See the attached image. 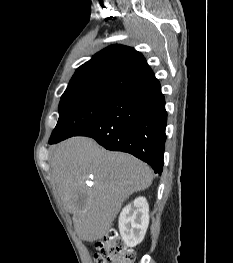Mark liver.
Returning a JSON list of instances; mask_svg holds the SVG:
<instances>
[{
  "instance_id": "obj_1",
  "label": "liver",
  "mask_w": 233,
  "mask_h": 263,
  "mask_svg": "<svg viewBox=\"0 0 233 263\" xmlns=\"http://www.w3.org/2000/svg\"><path fill=\"white\" fill-rule=\"evenodd\" d=\"M51 169L63 206L73 214L75 232L88 242L103 238L123 202L153 180L144 162L126 153L108 152L87 137H72L54 146Z\"/></svg>"
}]
</instances>
